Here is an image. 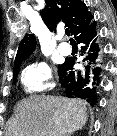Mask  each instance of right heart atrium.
I'll return each instance as SVG.
<instances>
[{
  "instance_id": "right-heart-atrium-1",
  "label": "right heart atrium",
  "mask_w": 117,
  "mask_h": 136,
  "mask_svg": "<svg viewBox=\"0 0 117 136\" xmlns=\"http://www.w3.org/2000/svg\"><path fill=\"white\" fill-rule=\"evenodd\" d=\"M21 84L26 94H40L53 87L49 66L42 61L28 65L21 73Z\"/></svg>"
}]
</instances>
